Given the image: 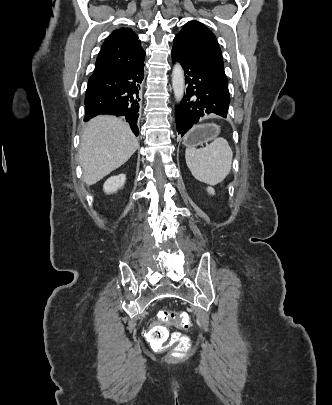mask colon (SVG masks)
Here are the masks:
<instances>
[{"label":"colon","instance_id":"1","mask_svg":"<svg viewBox=\"0 0 332 405\" xmlns=\"http://www.w3.org/2000/svg\"><path fill=\"white\" fill-rule=\"evenodd\" d=\"M164 321H174L178 326L187 329L193 322L192 315L184 311L162 310L159 315L153 317L155 324H162ZM148 339L155 347H162L167 341L177 344L180 347L178 354H182L190 346V339L179 332L169 334L168 330L160 325H154L148 332Z\"/></svg>","mask_w":332,"mask_h":405}]
</instances>
